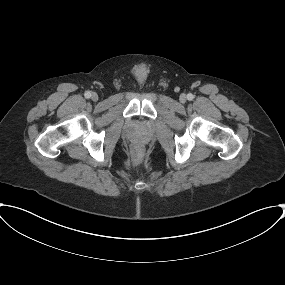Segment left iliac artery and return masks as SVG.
Wrapping results in <instances>:
<instances>
[{
	"mask_svg": "<svg viewBox=\"0 0 285 285\" xmlns=\"http://www.w3.org/2000/svg\"><path fill=\"white\" fill-rule=\"evenodd\" d=\"M187 99L188 100H193L194 99V95L193 94H191V93H189L188 95H187Z\"/></svg>",
	"mask_w": 285,
	"mask_h": 285,
	"instance_id": "1",
	"label": "left iliac artery"
}]
</instances>
